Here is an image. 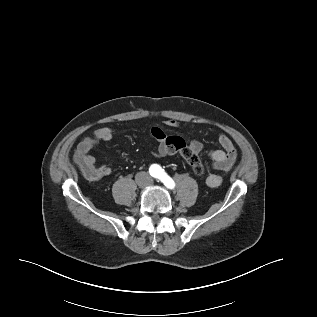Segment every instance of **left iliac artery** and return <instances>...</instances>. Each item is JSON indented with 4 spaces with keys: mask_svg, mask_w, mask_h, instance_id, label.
Masks as SVG:
<instances>
[{
    "mask_svg": "<svg viewBox=\"0 0 317 317\" xmlns=\"http://www.w3.org/2000/svg\"><path fill=\"white\" fill-rule=\"evenodd\" d=\"M157 177L166 187L171 189L175 187V182L173 181V179L169 177L163 170H160Z\"/></svg>",
    "mask_w": 317,
    "mask_h": 317,
    "instance_id": "left-iliac-artery-1",
    "label": "left iliac artery"
}]
</instances>
